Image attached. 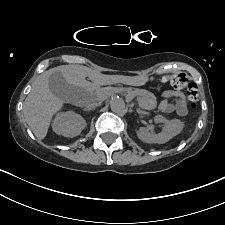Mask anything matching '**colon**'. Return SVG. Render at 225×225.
<instances>
[{
	"label": "colon",
	"mask_w": 225,
	"mask_h": 225,
	"mask_svg": "<svg viewBox=\"0 0 225 225\" xmlns=\"http://www.w3.org/2000/svg\"><path fill=\"white\" fill-rule=\"evenodd\" d=\"M161 82H169L176 89H186L190 106L193 110H197L200 106L199 91L195 84L190 83L185 74H173L171 76H162Z\"/></svg>",
	"instance_id": "1"
}]
</instances>
